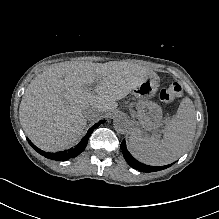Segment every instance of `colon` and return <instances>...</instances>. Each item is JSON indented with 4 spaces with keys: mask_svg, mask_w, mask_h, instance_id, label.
I'll use <instances>...</instances> for the list:
<instances>
[{
    "mask_svg": "<svg viewBox=\"0 0 219 219\" xmlns=\"http://www.w3.org/2000/svg\"><path fill=\"white\" fill-rule=\"evenodd\" d=\"M183 94V89L179 83H172L167 88L160 91L159 98L163 103H170L180 98Z\"/></svg>",
    "mask_w": 219,
    "mask_h": 219,
    "instance_id": "colon-1",
    "label": "colon"
}]
</instances>
